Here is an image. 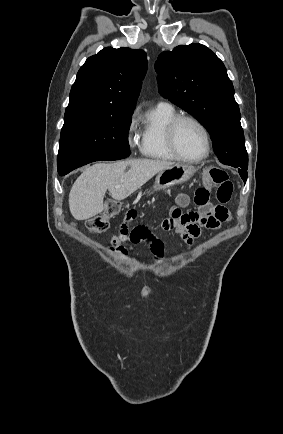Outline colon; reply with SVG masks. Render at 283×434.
Listing matches in <instances>:
<instances>
[{
	"mask_svg": "<svg viewBox=\"0 0 283 434\" xmlns=\"http://www.w3.org/2000/svg\"><path fill=\"white\" fill-rule=\"evenodd\" d=\"M205 181L216 186V199L220 204H227L233 194V183L228 173L219 167H210L204 173ZM120 206L117 202L108 205L107 210L87 221V228L91 233L101 234L105 232L110 219L119 212Z\"/></svg>",
	"mask_w": 283,
	"mask_h": 434,
	"instance_id": "obj_1",
	"label": "colon"
}]
</instances>
